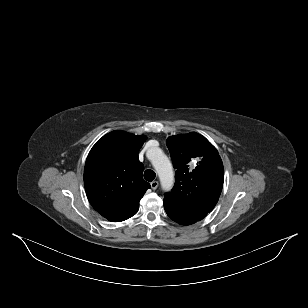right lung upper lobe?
I'll list each match as a JSON object with an SVG mask.
<instances>
[{
	"label": "right lung upper lobe",
	"instance_id": "obj_1",
	"mask_svg": "<svg viewBox=\"0 0 308 308\" xmlns=\"http://www.w3.org/2000/svg\"><path fill=\"white\" fill-rule=\"evenodd\" d=\"M147 139L124 131L103 136L90 150L84 168V186L92 207L112 222L135 215L150 188L143 180L138 153Z\"/></svg>",
	"mask_w": 308,
	"mask_h": 308
}]
</instances>
